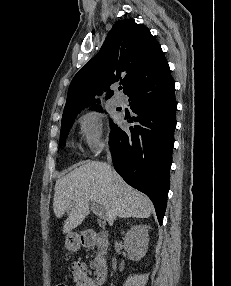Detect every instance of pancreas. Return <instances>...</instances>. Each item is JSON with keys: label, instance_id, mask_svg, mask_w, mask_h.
<instances>
[{"label": "pancreas", "instance_id": "pancreas-1", "mask_svg": "<svg viewBox=\"0 0 231 286\" xmlns=\"http://www.w3.org/2000/svg\"><path fill=\"white\" fill-rule=\"evenodd\" d=\"M97 245H98V252H97L96 258L93 262H90V267L92 269L97 268L99 264L105 262L104 254H105L106 246L104 245V243H100V242H98Z\"/></svg>", "mask_w": 231, "mask_h": 286}]
</instances>
